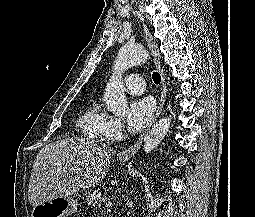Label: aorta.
<instances>
[{"label": "aorta", "instance_id": "1", "mask_svg": "<svg viewBox=\"0 0 255 217\" xmlns=\"http://www.w3.org/2000/svg\"><path fill=\"white\" fill-rule=\"evenodd\" d=\"M148 58V51L143 47L122 46L117 54L113 74L106 85L104 92V101L106 109L118 116L128 114V102L124 93V85L122 82V74L130 67H134L144 63ZM171 123V117L159 120L144 137V151L146 153L154 150L164 139Z\"/></svg>", "mask_w": 255, "mask_h": 217}]
</instances>
